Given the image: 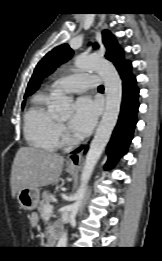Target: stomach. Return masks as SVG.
<instances>
[{"label": "stomach", "instance_id": "1", "mask_svg": "<svg viewBox=\"0 0 162 261\" xmlns=\"http://www.w3.org/2000/svg\"><path fill=\"white\" fill-rule=\"evenodd\" d=\"M67 172L75 174L76 169L67 167ZM40 191L38 188H23L17 193V200L20 206L25 210H33L39 204Z\"/></svg>", "mask_w": 162, "mask_h": 261}]
</instances>
